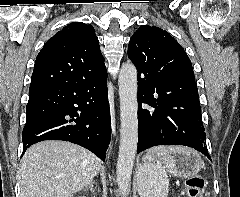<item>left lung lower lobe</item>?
<instances>
[{"label":"left lung lower lobe","instance_id":"1","mask_svg":"<svg viewBox=\"0 0 240 197\" xmlns=\"http://www.w3.org/2000/svg\"><path fill=\"white\" fill-rule=\"evenodd\" d=\"M155 79L138 72L137 153L156 145H185L210 160L197 85L156 86ZM142 103L147 104L142 108Z\"/></svg>","mask_w":240,"mask_h":197}]
</instances>
